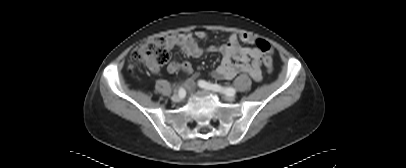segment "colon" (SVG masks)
<instances>
[{
  "instance_id": "obj_1",
  "label": "colon",
  "mask_w": 406,
  "mask_h": 168,
  "mask_svg": "<svg viewBox=\"0 0 406 168\" xmlns=\"http://www.w3.org/2000/svg\"><path fill=\"white\" fill-rule=\"evenodd\" d=\"M255 43L263 57L266 70L272 72L274 66L270 56V45L261 39H257ZM130 58L133 63H144L148 66H159L167 63L170 52L166 45V39L160 36L146 39L132 50ZM131 68H134V66L132 65Z\"/></svg>"
}]
</instances>
